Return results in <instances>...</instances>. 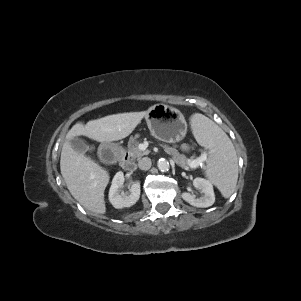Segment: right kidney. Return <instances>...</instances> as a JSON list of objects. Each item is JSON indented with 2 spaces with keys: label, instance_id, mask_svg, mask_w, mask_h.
Instances as JSON below:
<instances>
[{
  "label": "right kidney",
  "instance_id": "ca27d5eb",
  "mask_svg": "<svg viewBox=\"0 0 301 301\" xmlns=\"http://www.w3.org/2000/svg\"><path fill=\"white\" fill-rule=\"evenodd\" d=\"M124 174L119 171L115 174L109 190V201L116 209L133 206L140 198V183L135 182L130 188V193L121 192L124 183Z\"/></svg>",
  "mask_w": 301,
  "mask_h": 301
}]
</instances>
